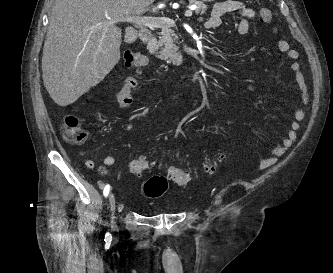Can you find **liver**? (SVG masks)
<instances>
[{"label":"liver","instance_id":"6515ba94","mask_svg":"<svg viewBox=\"0 0 333 273\" xmlns=\"http://www.w3.org/2000/svg\"><path fill=\"white\" fill-rule=\"evenodd\" d=\"M155 0H55L43 48L42 76L50 97L65 107L100 83L120 60L127 15Z\"/></svg>","mask_w":333,"mask_h":273}]
</instances>
